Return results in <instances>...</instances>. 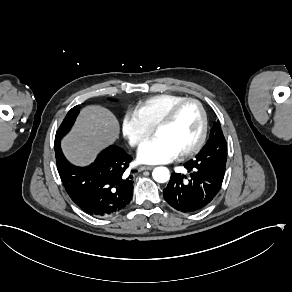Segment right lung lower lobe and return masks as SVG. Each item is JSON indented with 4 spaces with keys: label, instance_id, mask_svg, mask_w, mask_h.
<instances>
[{
    "label": "right lung lower lobe",
    "instance_id": "1",
    "mask_svg": "<svg viewBox=\"0 0 292 292\" xmlns=\"http://www.w3.org/2000/svg\"><path fill=\"white\" fill-rule=\"evenodd\" d=\"M60 141L54 145L57 169L72 201L94 217L112 216L125 209L133 195L132 177L128 171L132 157L112 145L91 165L78 167L64 157Z\"/></svg>",
    "mask_w": 292,
    "mask_h": 292
}]
</instances>
